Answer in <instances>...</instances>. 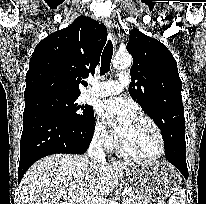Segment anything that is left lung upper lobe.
Listing matches in <instances>:
<instances>
[{"mask_svg": "<svg viewBox=\"0 0 206 204\" xmlns=\"http://www.w3.org/2000/svg\"><path fill=\"white\" fill-rule=\"evenodd\" d=\"M127 50L133 57L129 93L161 129L164 140L185 137L182 82L176 60L160 41L133 28Z\"/></svg>", "mask_w": 206, "mask_h": 204, "instance_id": "5c2ea615", "label": "left lung upper lobe"}]
</instances>
